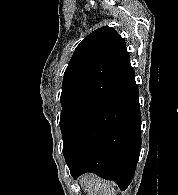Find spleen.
<instances>
[{"label": "spleen", "mask_w": 178, "mask_h": 195, "mask_svg": "<svg viewBox=\"0 0 178 195\" xmlns=\"http://www.w3.org/2000/svg\"><path fill=\"white\" fill-rule=\"evenodd\" d=\"M81 184L90 195H116L112 182L102 180L95 175L85 176Z\"/></svg>", "instance_id": "1"}]
</instances>
